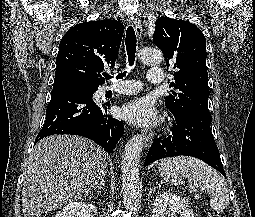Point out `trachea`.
Instances as JSON below:
<instances>
[{
    "instance_id": "1",
    "label": "trachea",
    "mask_w": 255,
    "mask_h": 217,
    "mask_svg": "<svg viewBox=\"0 0 255 217\" xmlns=\"http://www.w3.org/2000/svg\"><path fill=\"white\" fill-rule=\"evenodd\" d=\"M136 35L134 28L129 26L126 31V50L128 55L129 65L132 66L135 60V53H136ZM126 75V72L120 73L117 76V79L123 78ZM106 79H111L112 77L108 74L104 75Z\"/></svg>"
}]
</instances>
